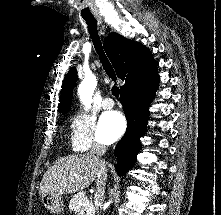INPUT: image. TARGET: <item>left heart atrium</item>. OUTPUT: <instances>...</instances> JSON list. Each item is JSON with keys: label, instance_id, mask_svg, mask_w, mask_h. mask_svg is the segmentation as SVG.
<instances>
[{"label": "left heart atrium", "instance_id": "1", "mask_svg": "<svg viewBox=\"0 0 221 215\" xmlns=\"http://www.w3.org/2000/svg\"><path fill=\"white\" fill-rule=\"evenodd\" d=\"M125 128V118L117 111L105 112L100 118L99 132L106 142L118 139L124 133Z\"/></svg>", "mask_w": 221, "mask_h": 215}]
</instances>
